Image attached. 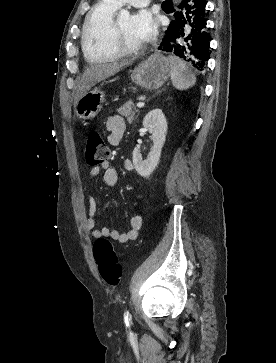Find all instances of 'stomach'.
<instances>
[{
    "mask_svg": "<svg viewBox=\"0 0 276 363\" xmlns=\"http://www.w3.org/2000/svg\"><path fill=\"white\" fill-rule=\"evenodd\" d=\"M170 73L169 58L160 53H154L135 67L131 79L146 90H155L168 80ZM104 102V92L99 87H95L78 99L75 113L81 119H93L101 111Z\"/></svg>",
    "mask_w": 276,
    "mask_h": 363,
    "instance_id": "1",
    "label": "stomach"
}]
</instances>
